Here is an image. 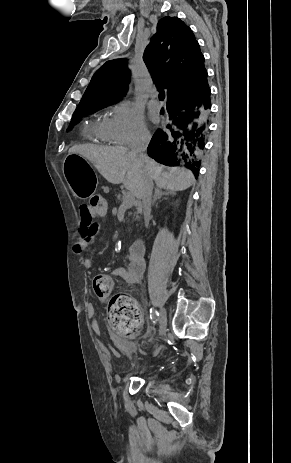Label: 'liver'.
I'll use <instances>...</instances> for the list:
<instances>
[{
    "label": "liver",
    "instance_id": "6515ba94",
    "mask_svg": "<svg viewBox=\"0 0 291 463\" xmlns=\"http://www.w3.org/2000/svg\"><path fill=\"white\" fill-rule=\"evenodd\" d=\"M78 154L88 159L100 174L112 184L123 183L136 198L141 199L145 177V164L139 162L126 147H104L97 145H75L69 154ZM149 172L152 180L160 189L183 191L189 188L195 178L191 171L184 168L164 167L148 158Z\"/></svg>",
    "mask_w": 291,
    "mask_h": 463
}]
</instances>
